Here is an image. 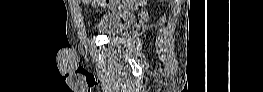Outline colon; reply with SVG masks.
Returning <instances> with one entry per match:
<instances>
[{
    "label": "colon",
    "mask_w": 263,
    "mask_h": 92,
    "mask_svg": "<svg viewBox=\"0 0 263 92\" xmlns=\"http://www.w3.org/2000/svg\"><path fill=\"white\" fill-rule=\"evenodd\" d=\"M82 2H88V1H82ZM96 2H100V3H104V4H113L116 2H120V1L104 0V1H96Z\"/></svg>",
    "instance_id": "obj_1"
}]
</instances>
